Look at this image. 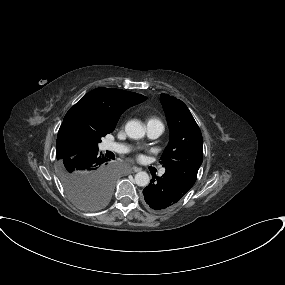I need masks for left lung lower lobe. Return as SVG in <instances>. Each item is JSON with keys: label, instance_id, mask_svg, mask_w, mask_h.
Wrapping results in <instances>:
<instances>
[{"label": "left lung lower lobe", "instance_id": "obj_1", "mask_svg": "<svg viewBox=\"0 0 285 285\" xmlns=\"http://www.w3.org/2000/svg\"><path fill=\"white\" fill-rule=\"evenodd\" d=\"M191 187L177 176L165 172L162 177L153 176L143 195L150 208L161 211L172 207Z\"/></svg>", "mask_w": 285, "mask_h": 285}]
</instances>
